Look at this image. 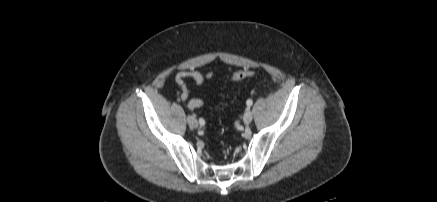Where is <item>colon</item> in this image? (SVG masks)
Here are the masks:
<instances>
[{"instance_id":"obj_1","label":"colon","mask_w":437,"mask_h":202,"mask_svg":"<svg viewBox=\"0 0 437 202\" xmlns=\"http://www.w3.org/2000/svg\"><path fill=\"white\" fill-rule=\"evenodd\" d=\"M254 75V72L249 69H243L233 74L231 77L232 82H239Z\"/></svg>"}]
</instances>
